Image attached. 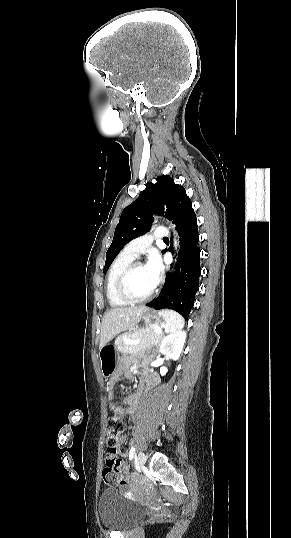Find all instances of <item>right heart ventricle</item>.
Instances as JSON below:
<instances>
[{"label":"right heart ventricle","mask_w":291,"mask_h":538,"mask_svg":"<svg viewBox=\"0 0 291 538\" xmlns=\"http://www.w3.org/2000/svg\"><path fill=\"white\" fill-rule=\"evenodd\" d=\"M135 257L122 250L113 260L106 279V296L113 307L127 306L129 303L119 297L117 293V280L120 274L133 262Z\"/></svg>","instance_id":"e07e8e85"}]
</instances>
